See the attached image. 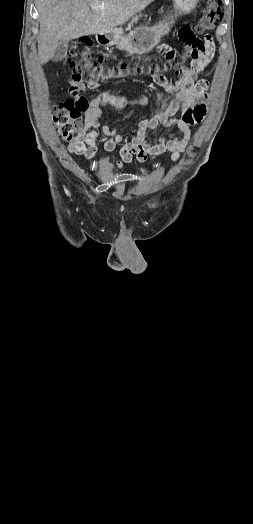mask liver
Returning a JSON list of instances; mask_svg holds the SVG:
<instances>
[{
  "label": "liver",
  "mask_w": 253,
  "mask_h": 524,
  "mask_svg": "<svg viewBox=\"0 0 253 524\" xmlns=\"http://www.w3.org/2000/svg\"><path fill=\"white\" fill-rule=\"evenodd\" d=\"M154 0H35L39 13L38 57L52 59L58 45L84 35L107 34ZM98 6L92 9L91 5Z\"/></svg>",
  "instance_id": "6515ba94"
}]
</instances>
